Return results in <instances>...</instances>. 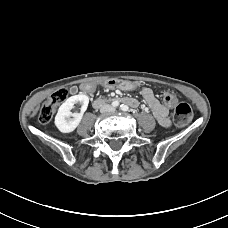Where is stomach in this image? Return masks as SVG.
<instances>
[{
    "mask_svg": "<svg viewBox=\"0 0 228 228\" xmlns=\"http://www.w3.org/2000/svg\"><path fill=\"white\" fill-rule=\"evenodd\" d=\"M137 84L136 83H129V88L134 89L136 88Z\"/></svg>",
    "mask_w": 228,
    "mask_h": 228,
    "instance_id": "stomach-1",
    "label": "stomach"
}]
</instances>
